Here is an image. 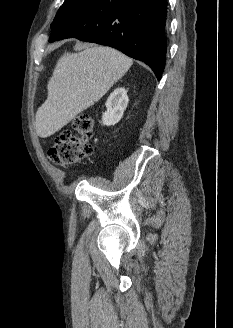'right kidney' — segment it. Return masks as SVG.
Listing matches in <instances>:
<instances>
[{
  "mask_svg": "<svg viewBox=\"0 0 233 328\" xmlns=\"http://www.w3.org/2000/svg\"><path fill=\"white\" fill-rule=\"evenodd\" d=\"M129 99L125 88L115 89L108 97L105 105L106 112L102 115L103 125H115L120 121L128 105Z\"/></svg>",
  "mask_w": 233,
  "mask_h": 328,
  "instance_id": "obj_1",
  "label": "right kidney"
}]
</instances>
